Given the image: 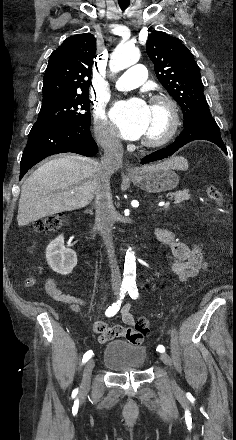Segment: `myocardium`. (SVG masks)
<instances>
[{
    "label": "myocardium",
    "instance_id": "obj_1",
    "mask_svg": "<svg viewBox=\"0 0 236 440\" xmlns=\"http://www.w3.org/2000/svg\"><path fill=\"white\" fill-rule=\"evenodd\" d=\"M152 106H164L168 114V124L165 131L158 137H148L142 139V144L146 147H160L170 142L176 135L180 125V115L177 103L167 94H156L151 97Z\"/></svg>",
    "mask_w": 236,
    "mask_h": 440
}]
</instances>
